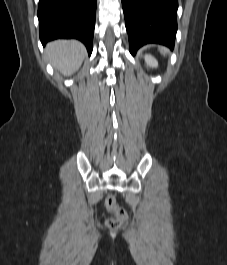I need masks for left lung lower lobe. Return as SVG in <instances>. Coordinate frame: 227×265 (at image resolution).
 Listing matches in <instances>:
<instances>
[{"label":"left lung lower lobe","mask_w":227,"mask_h":265,"mask_svg":"<svg viewBox=\"0 0 227 265\" xmlns=\"http://www.w3.org/2000/svg\"><path fill=\"white\" fill-rule=\"evenodd\" d=\"M132 55L147 43L174 47L178 0H122Z\"/></svg>","instance_id":"0a47b994"}]
</instances>
